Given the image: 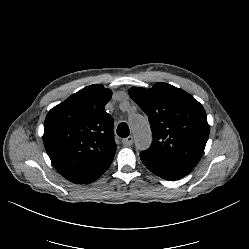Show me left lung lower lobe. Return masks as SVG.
<instances>
[{"mask_svg": "<svg viewBox=\"0 0 249 249\" xmlns=\"http://www.w3.org/2000/svg\"><path fill=\"white\" fill-rule=\"evenodd\" d=\"M144 165L154 174L167 180H177L189 174L194 167L177 164L157 157L140 155Z\"/></svg>", "mask_w": 249, "mask_h": 249, "instance_id": "1", "label": "left lung lower lobe"}]
</instances>
